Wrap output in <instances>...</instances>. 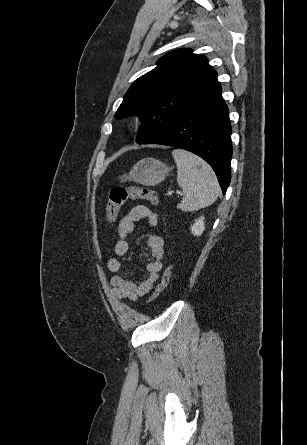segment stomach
<instances>
[{"instance_id": "0dacf381", "label": "stomach", "mask_w": 307, "mask_h": 445, "mask_svg": "<svg viewBox=\"0 0 307 445\" xmlns=\"http://www.w3.org/2000/svg\"><path fill=\"white\" fill-rule=\"evenodd\" d=\"M170 170H172V166H167L161 160L147 156V158H141L136 164H133L129 174H123L120 178H122V182L134 180V182H139L143 186H155V184L165 180V176Z\"/></svg>"}]
</instances>
